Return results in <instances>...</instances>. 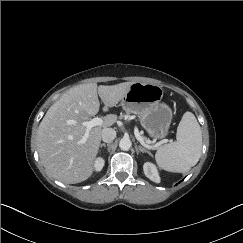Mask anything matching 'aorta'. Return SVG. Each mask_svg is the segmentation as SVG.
Listing matches in <instances>:
<instances>
[{
  "instance_id": "obj_1",
  "label": "aorta",
  "mask_w": 243,
  "mask_h": 243,
  "mask_svg": "<svg viewBox=\"0 0 243 243\" xmlns=\"http://www.w3.org/2000/svg\"><path fill=\"white\" fill-rule=\"evenodd\" d=\"M131 146H132V142L129 138L124 137L119 142V147L121 150H125V151L129 150Z\"/></svg>"
}]
</instances>
